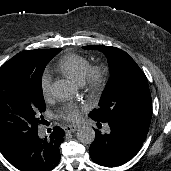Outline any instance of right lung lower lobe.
Instances as JSON below:
<instances>
[{
    "mask_svg": "<svg viewBox=\"0 0 171 171\" xmlns=\"http://www.w3.org/2000/svg\"><path fill=\"white\" fill-rule=\"evenodd\" d=\"M64 136V130L59 127H54L48 138L41 139L36 133L7 160L21 171H50L59 163V146Z\"/></svg>",
    "mask_w": 171,
    "mask_h": 171,
    "instance_id": "obj_1",
    "label": "right lung lower lobe"
}]
</instances>
